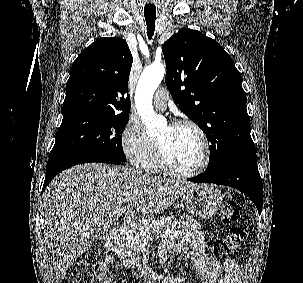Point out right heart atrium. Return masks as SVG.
I'll use <instances>...</instances> for the list:
<instances>
[{
  "instance_id": "d8ad5b80",
  "label": "right heart atrium",
  "mask_w": 303,
  "mask_h": 283,
  "mask_svg": "<svg viewBox=\"0 0 303 283\" xmlns=\"http://www.w3.org/2000/svg\"><path fill=\"white\" fill-rule=\"evenodd\" d=\"M124 155L134 166H143L156 151V143L143 130L141 124L130 119L121 133Z\"/></svg>"
}]
</instances>
